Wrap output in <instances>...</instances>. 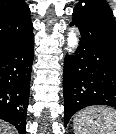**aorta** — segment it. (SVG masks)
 I'll return each mask as SVG.
<instances>
[{"mask_svg": "<svg viewBox=\"0 0 116 134\" xmlns=\"http://www.w3.org/2000/svg\"><path fill=\"white\" fill-rule=\"evenodd\" d=\"M78 44L77 36L74 31V28L70 29L67 37V46H68V52H72L75 50L76 46Z\"/></svg>", "mask_w": 116, "mask_h": 134, "instance_id": "1", "label": "aorta"}]
</instances>
